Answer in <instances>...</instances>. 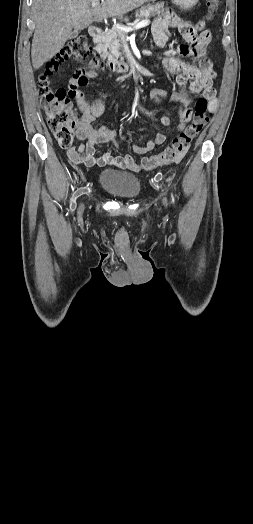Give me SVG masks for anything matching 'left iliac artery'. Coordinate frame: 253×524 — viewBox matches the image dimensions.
<instances>
[{
    "label": "left iliac artery",
    "instance_id": "left-iliac-artery-1",
    "mask_svg": "<svg viewBox=\"0 0 253 524\" xmlns=\"http://www.w3.org/2000/svg\"><path fill=\"white\" fill-rule=\"evenodd\" d=\"M172 200H173V202H174V198H173V196H172Z\"/></svg>",
    "mask_w": 253,
    "mask_h": 524
}]
</instances>
